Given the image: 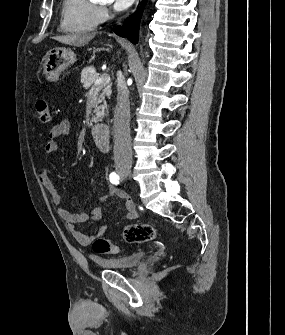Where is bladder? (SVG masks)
Instances as JSON below:
<instances>
[{"label": "bladder", "instance_id": "1", "mask_svg": "<svg viewBox=\"0 0 285 335\" xmlns=\"http://www.w3.org/2000/svg\"><path fill=\"white\" fill-rule=\"evenodd\" d=\"M144 251H134L125 254L121 257H106V258H94V265H102L106 271L124 272L128 273L138 268L144 261ZM128 265L130 270L125 272L123 267Z\"/></svg>", "mask_w": 285, "mask_h": 335}]
</instances>
